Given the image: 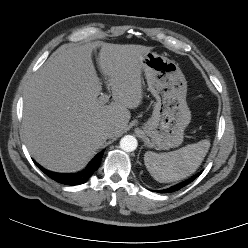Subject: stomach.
<instances>
[{
	"label": "stomach",
	"instance_id": "1",
	"mask_svg": "<svg viewBox=\"0 0 248 248\" xmlns=\"http://www.w3.org/2000/svg\"><path fill=\"white\" fill-rule=\"evenodd\" d=\"M142 63L148 89L156 98L152 117L143 125V130L155 149L178 147L191 121L185 76L177 63L154 52H149Z\"/></svg>",
	"mask_w": 248,
	"mask_h": 248
}]
</instances>
